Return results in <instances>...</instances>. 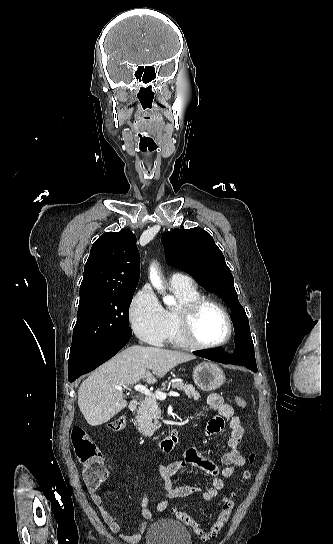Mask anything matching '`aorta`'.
Here are the masks:
<instances>
[{
    "label": "aorta",
    "mask_w": 333,
    "mask_h": 544,
    "mask_svg": "<svg viewBox=\"0 0 333 544\" xmlns=\"http://www.w3.org/2000/svg\"><path fill=\"white\" fill-rule=\"evenodd\" d=\"M150 281L152 283V285L158 290V291H163V286H162V282H161V279L156 271L155 268H151L150 270ZM163 301L165 304L167 305H173L175 303V299L172 297V296H165L163 298Z\"/></svg>",
    "instance_id": "obj_1"
}]
</instances>
